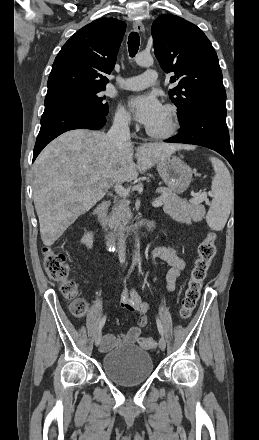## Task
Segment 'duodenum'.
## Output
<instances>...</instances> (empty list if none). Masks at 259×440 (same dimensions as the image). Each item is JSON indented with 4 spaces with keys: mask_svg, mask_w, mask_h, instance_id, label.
<instances>
[{
    "mask_svg": "<svg viewBox=\"0 0 259 440\" xmlns=\"http://www.w3.org/2000/svg\"><path fill=\"white\" fill-rule=\"evenodd\" d=\"M109 207L108 202H103L92 214V221L98 228L102 239L109 245H115L118 242V237L110 235L107 233L104 226V216ZM147 232H152L155 228V223L153 221H148L141 226ZM137 230H134L131 235H135Z\"/></svg>",
    "mask_w": 259,
    "mask_h": 440,
    "instance_id": "1",
    "label": "duodenum"
}]
</instances>
